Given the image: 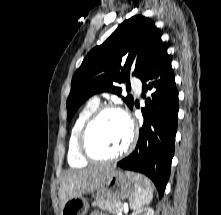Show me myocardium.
Instances as JSON below:
<instances>
[{"mask_svg": "<svg viewBox=\"0 0 221 215\" xmlns=\"http://www.w3.org/2000/svg\"><path fill=\"white\" fill-rule=\"evenodd\" d=\"M106 112H116L124 119V121L126 122L129 128V140L125 148L121 150L119 153L112 156L103 157V156H97L93 152H91V150L88 147V135L95 122L100 118V116H102ZM136 141H137V128L134 122L128 116V114L123 109H121L116 105L105 104L98 106L84 122L78 135L77 147L80 155L87 161L112 162L119 160L125 157L126 155H128L133 150Z\"/></svg>", "mask_w": 221, "mask_h": 215, "instance_id": "obj_1", "label": "myocardium"}]
</instances>
